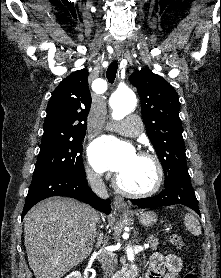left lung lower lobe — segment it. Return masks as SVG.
I'll use <instances>...</instances> for the list:
<instances>
[{
  "instance_id": "1",
  "label": "left lung lower lobe",
  "mask_w": 221,
  "mask_h": 278,
  "mask_svg": "<svg viewBox=\"0 0 221 278\" xmlns=\"http://www.w3.org/2000/svg\"><path fill=\"white\" fill-rule=\"evenodd\" d=\"M131 202L139 208L182 204L193 209L200 215L188 172L179 173L166 182L164 190L160 194L149 198L131 199Z\"/></svg>"
}]
</instances>
